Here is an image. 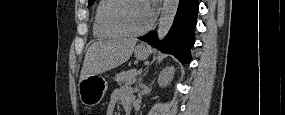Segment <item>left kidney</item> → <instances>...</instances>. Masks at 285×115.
<instances>
[{
  "label": "left kidney",
  "mask_w": 285,
  "mask_h": 115,
  "mask_svg": "<svg viewBox=\"0 0 285 115\" xmlns=\"http://www.w3.org/2000/svg\"><path fill=\"white\" fill-rule=\"evenodd\" d=\"M175 69L173 66L166 67L159 76L160 86H166L173 79Z\"/></svg>",
  "instance_id": "5707ae66"
}]
</instances>
